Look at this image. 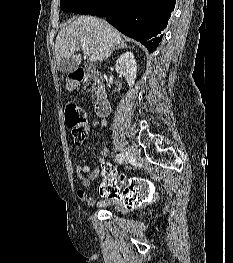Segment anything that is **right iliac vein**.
Returning <instances> with one entry per match:
<instances>
[{"label":"right iliac vein","mask_w":233,"mask_h":263,"mask_svg":"<svg viewBox=\"0 0 233 263\" xmlns=\"http://www.w3.org/2000/svg\"><path fill=\"white\" fill-rule=\"evenodd\" d=\"M126 153L130 156V157H136L138 152L137 149L133 146H129L126 149Z\"/></svg>","instance_id":"63e3f726"}]
</instances>
